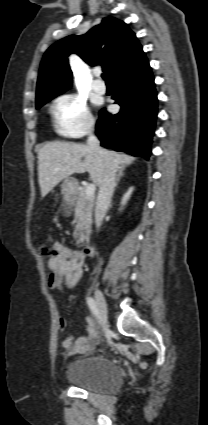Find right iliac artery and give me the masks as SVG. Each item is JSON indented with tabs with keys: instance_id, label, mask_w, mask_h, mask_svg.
Masks as SVG:
<instances>
[{
	"instance_id": "obj_1",
	"label": "right iliac artery",
	"mask_w": 208,
	"mask_h": 425,
	"mask_svg": "<svg viewBox=\"0 0 208 425\" xmlns=\"http://www.w3.org/2000/svg\"><path fill=\"white\" fill-rule=\"evenodd\" d=\"M87 304L90 308V310L92 311L93 314L97 313V305L95 300L92 297H88L87 298Z\"/></svg>"
}]
</instances>
